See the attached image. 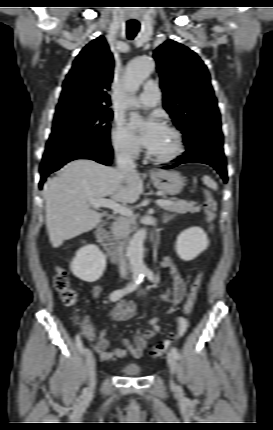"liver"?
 Segmentation results:
<instances>
[{"label":"liver","mask_w":273,"mask_h":430,"mask_svg":"<svg viewBox=\"0 0 273 430\" xmlns=\"http://www.w3.org/2000/svg\"><path fill=\"white\" fill-rule=\"evenodd\" d=\"M46 226L54 248L94 229L102 214L90 208V199L111 197L115 202L134 203L143 193L138 172H121L90 159L67 163L45 188Z\"/></svg>","instance_id":"1"}]
</instances>
